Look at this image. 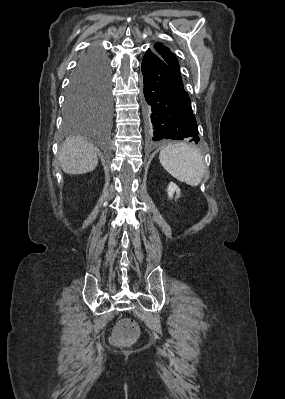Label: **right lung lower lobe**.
Here are the masks:
<instances>
[{"label": "right lung lower lobe", "mask_w": 285, "mask_h": 399, "mask_svg": "<svg viewBox=\"0 0 285 399\" xmlns=\"http://www.w3.org/2000/svg\"><path fill=\"white\" fill-rule=\"evenodd\" d=\"M97 49H98L97 47H92V48H90V49L83 55V57H82L81 60L79 61V64L85 62V61L88 60L90 57H92L93 54L96 52Z\"/></svg>", "instance_id": "1"}]
</instances>
